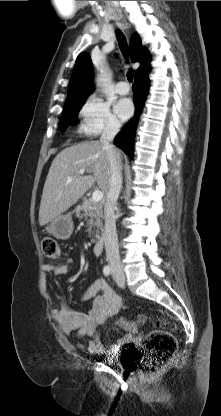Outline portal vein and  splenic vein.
Returning a JSON list of instances; mask_svg holds the SVG:
<instances>
[{"instance_id": "1", "label": "portal vein and splenic vein", "mask_w": 221, "mask_h": 416, "mask_svg": "<svg viewBox=\"0 0 221 416\" xmlns=\"http://www.w3.org/2000/svg\"><path fill=\"white\" fill-rule=\"evenodd\" d=\"M84 173H85V170H80L77 174L78 175H83ZM71 180H72V178L71 177H68V182H70ZM102 198H103V193L100 190H95L92 193L91 200L93 202L98 203V202H100L102 200Z\"/></svg>"}]
</instances>
